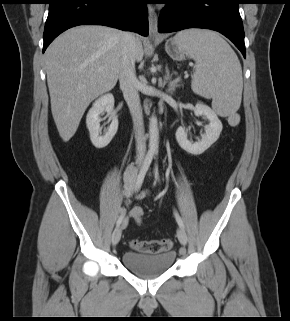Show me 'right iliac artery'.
Returning <instances> with one entry per match:
<instances>
[{"label": "right iliac artery", "instance_id": "right-iliac-artery-1", "mask_svg": "<svg viewBox=\"0 0 290 321\" xmlns=\"http://www.w3.org/2000/svg\"><path fill=\"white\" fill-rule=\"evenodd\" d=\"M153 156H154L153 152H148L146 157H145V159H144L143 165H142V167H141V169H140V171H139V173L137 175V178H136V185H137L136 186V188H137L136 191H138L140 189V187H141V185H142V183L144 181L145 175H146V173H147V171H148V169H149V167H150V165L152 163ZM124 216H125V211L123 210L121 212L120 217L117 220V224H116L117 226H119L121 224Z\"/></svg>", "mask_w": 290, "mask_h": 321}]
</instances>
